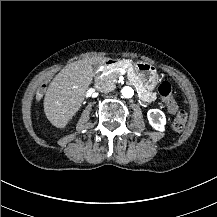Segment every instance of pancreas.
I'll use <instances>...</instances> for the list:
<instances>
[{
	"label": "pancreas",
	"mask_w": 217,
	"mask_h": 217,
	"mask_svg": "<svg viewBox=\"0 0 217 217\" xmlns=\"http://www.w3.org/2000/svg\"><path fill=\"white\" fill-rule=\"evenodd\" d=\"M117 68H124L128 70V80L131 84H133L137 89H138V93L141 95V97L144 100H149L152 102H155L158 99V96L154 93V92H148L144 87H143V82L142 80L138 77V75L136 74L135 70L133 69V67L131 66V64L128 61H121L118 62L115 65ZM111 80L115 81L117 79V74L116 73H111L108 76Z\"/></svg>",
	"instance_id": "1"
}]
</instances>
